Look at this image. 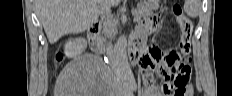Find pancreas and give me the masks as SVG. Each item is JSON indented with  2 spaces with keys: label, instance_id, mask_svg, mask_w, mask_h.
<instances>
[{
  "label": "pancreas",
  "instance_id": "pancreas-1",
  "mask_svg": "<svg viewBox=\"0 0 232 96\" xmlns=\"http://www.w3.org/2000/svg\"><path fill=\"white\" fill-rule=\"evenodd\" d=\"M159 8L158 3L153 4H144L139 5L137 9H134L132 12L134 16H137L139 19L144 16H149L153 13V11L157 10ZM163 10V9H162ZM106 28H108L105 33L113 37L117 33L116 25L114 21H109L105 24Z\"/></svg>",
  "mask_w": 232,
  "mask_h": 96
}]
</instances>
